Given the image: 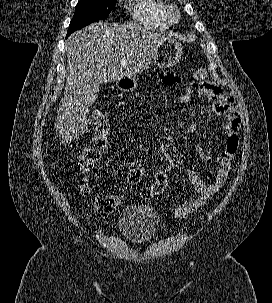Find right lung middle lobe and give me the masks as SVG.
Masks as SVG:
<instances>
[{
  "mask_svg": "<svg viewBox=\"0 0 272 303\" xmlns=\"http://www.w3.org/2000/svg\"><path fill=\"white\" fill-rule=\"evenodd\" d=\"M117 0H80L75 7L67 37L88 24L108 17Z\"/></svg>",
  "mask_w": 272,
  "mask_h": 303,
  "instance_id": "obj_1",
  "label": "right lung middle lobe"
}]
</instances>
